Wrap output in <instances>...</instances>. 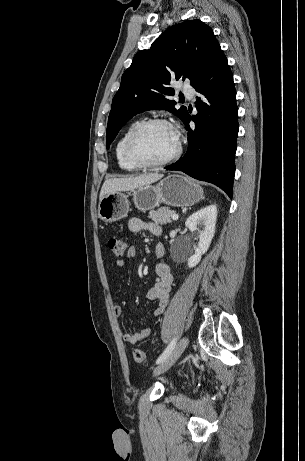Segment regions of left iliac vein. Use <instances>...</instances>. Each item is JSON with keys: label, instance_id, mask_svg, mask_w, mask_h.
I'll list each match as a JSON object with an SVG mask.
<instances>
[{"label": "left iliac vein", "instance_id": "left-iliac-vein-1", "mask_svg": "<svg viewBox=\"0 0 305 461\" xmlns=\"http://www.w3.org/2000/svg\"><path fill=\"white\" fill-rule=\"evenodd\" d=\"M188 344V339L186 337H183L177 345L174 347L170 355L159 365L157 366L153 374L154 375H160L167 371L180 357V355L183 353L185 348L187 347Z\"/></svg>", "mask_w": 305, "mask_h": 461}]
</instances>
